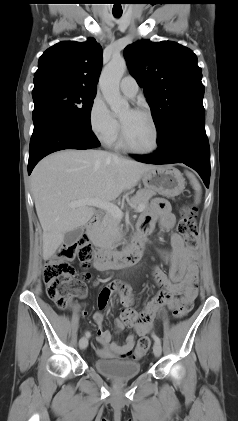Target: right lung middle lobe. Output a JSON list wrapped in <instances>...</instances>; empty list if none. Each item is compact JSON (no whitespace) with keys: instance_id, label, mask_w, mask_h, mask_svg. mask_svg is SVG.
<instances>
[{"instance_id":"right-lung-middle-lobe-1","label":"right lung middle lobe","mask_w":238,"mask_h":421,"mask_svg":"<svg viewBox=\"0 0 238 421\" xmlns=\"http://www.w3.org/2000/svg\"><path fill=\"white\" fill-rule=\"evenodd\" d=\"M32 96L33 120L44 111H52L84 129L91 130L90 113L96 91L47 83L35 86Z\"/></svg>"}]
</instances>
